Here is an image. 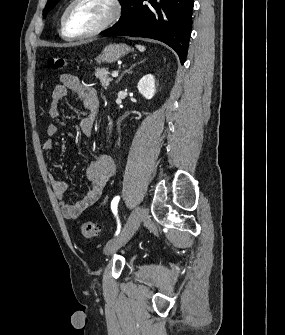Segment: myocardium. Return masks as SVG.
I'll list each match as a JSON object with an SVG mask.
<instances>
[{
  "label": "myocardium",
  "instance_id": "obj_1",
  "mask_svg": "<svg viewBox=\"0 0 285 335\" xmlns=\"http://www.w3.org/2000/svg\"><path fill=\"white\" fill-rule=\"evenodd\" d=\"M86 2V1H72L66 11V20L71 28H74L72 18L74 8L78 3ZM106 4L110 9V14L108 18L100 24L98 27L90 30H80L73 31L71 37L74 39L87 38L96 36L105 30H107L110 26H112L120 17L122 9L120 1H99Z\"/></svg>",
  "mask_w": 285,
  "mask_h": 335
}]
</instances>
